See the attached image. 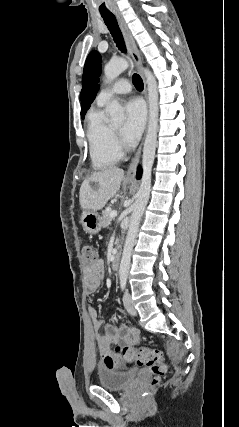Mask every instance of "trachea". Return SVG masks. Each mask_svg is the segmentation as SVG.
<instances>
[{
  "label": "trachea",
  "instance_id": "obj_1",
  "mask_svg": "<svg viewBox=\"0 0 239 427\" xmlns=\"http://www.w3.org/2000/svg\"><path fill=\"white\" fill-rule=\"evenodd\" d=\"M105 24L107 25L113 40L115 41L117 47L119 50H121L123 53H126V47L124 43V39L122 36V33L120 31V28L118 26L117 20L114 15H105L102 16ZM133 83L138 90H143V81L142 78L138 74H133Z\"/></svg>",
  "mask_w": 239,
  "mask_h": 427
}]
</instances>
